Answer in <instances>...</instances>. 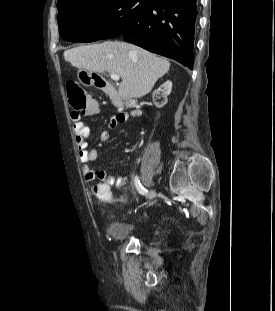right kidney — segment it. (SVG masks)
Masks as SVG:
<instances>
[{
	"label": "right kidney",
	"mask_w": 275,
	"mask_h": 311,
	"mask_svg": "<svg viewBox=\"0 0 275 311\" xmlns=\"http://www.w3.org/2000/svg\"><path fill=\"white\" fill-rule=\"evenodd\" d=\"M172 82L167 80L164 82L161 87H155L153 91V104L156 105L157 108H164L165 105L169 104V99L167 96L171 93Z\"/></svg>",
	"instance_id": "1"
}]
</instances>
